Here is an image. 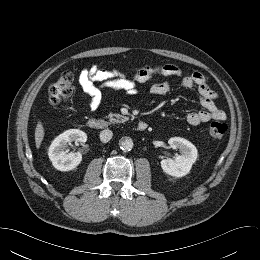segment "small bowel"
I'll list each match as a JSON object with an SVG mask.
<instances>
[{
    "mask_svg": "<svg viewBox=\"0 0 260 260\" xmlns=\"http://www.w3.org/2000/svg\"><path fill=\"white\" fill-rule=\"evenodd\" d=\"M154 75L180 77V86L184 89L196 87L200 95V102L204 110L191 112L186 121L191 126H198L210 120H225L226 113L219 109L215 103L216 94L208 86L205 76L194 72L184 76L180 67L173 64L152 65L140 68L132 79L116 70H103L97 66L84 68L80 71L78 82L81 90L88 96V106L91 111L98 109L103 89L122 91L129 95L137 93V83H144ZM171 85L164 81L155 83L150 88L154 96L169 93Z\"/></svg>",
    "mask_w": 260,
    "mask_h": 260,
    "instance_id": "obj_1",
    "label": "small bowel"
}]
</instances>
